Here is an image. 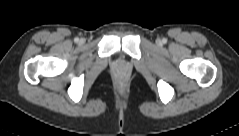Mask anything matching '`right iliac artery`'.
Masks as SVG:
<instances>
[{"instance_id":"82829eb1","label":"right iliac artery","mask_w":239,"mask_h":136,"mask_svg":"<svg viewBox=\"0 0 239 136\" xmlns=\"http://www.w3.org/2000/svg\"><path fill=\"white\" fill-rule=\"evenodd\" d=\"M74 41H75L76 43H78V42H79V38L76 37V38L74 39Z\"/></svg>"}]
</instances>
